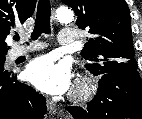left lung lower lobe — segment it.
Wrapping results in <instances>:
<instances>
[{
	"instance_id": "0a47b994",
	"label": "left lung lower lobe",
	"mask_w": 142,
	"mask_h": 119,
	"mask_svg": "<svg viewBox=\"0 0 142 119\" xmlns=\"http://www.w3.org/2000/svg\"><path fill=\"white\" fill-rule=\"evenodd\" d=\"M75 119H142V84L136 67L100 76L94 99L81 107H68Z\"/></svg>"
}]
</instances>
